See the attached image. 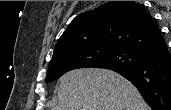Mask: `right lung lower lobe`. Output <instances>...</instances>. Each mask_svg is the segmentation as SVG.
Instances as JSON below:
<instances>
[{"label": "right lung lower lobe", "mask_w": 171, "mask_h": 110, "mask_svg": "<svg viewBox=\"0 0 171 110\" xmlns=\"http://www.w3.org/2000/svg\"><path fill=\"white\" fill-rule=\"evenodd\" d=\"M142 56L143 60L135 66L111 70L132 82L152 110H171V54L167 43Z\"/></svg>", "instance_id": "98d812e1"}]
</instances>
